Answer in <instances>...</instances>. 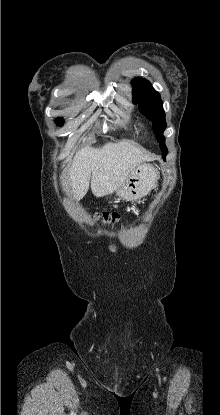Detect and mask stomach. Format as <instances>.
<instances>
[{
    "label": "stomach",
    "mask_w": 220,
    "mask_h": 415,
    "mask_svg": "<svg viewBox=\"0 0 220 415\" xmlns=\"http://www.w3.org/2000/svg\"><path fill=\"white\" fill-rule=\"evenodd\" d=\"M157 180V170L149 164H142L134 169L125 182L117 188L116 195L127 201L140 199L153 189Z\"/></svg>",
    "instance_id": "stomach-1"
}]
</instances>
